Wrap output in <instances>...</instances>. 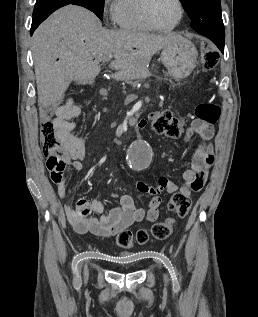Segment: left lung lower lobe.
Instances as JSON below:
<instances>
[{"mask_svg":"<svg viewBox=\"0 0 258 317\" xmlns=\"http://www.w3.org/2000/svg\"><path fill=\"white\" fill-rule=\"evenodd\" d=\"M199 34L209 38L222 53H224L225 32L224 29L215 27L197 28L194 29Z\"/></svg>","mask_w":258,"mask_h":317,"instance_id":"1","label":"left lung lower lobe"}]
</instances>
